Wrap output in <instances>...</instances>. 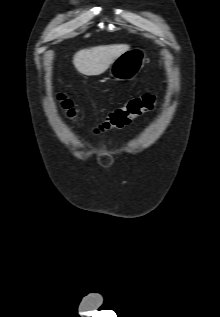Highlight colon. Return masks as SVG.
<instances>
[{"label":"colon","instance_id":"colon-1","mask_svg":"<svg viewBox=\"0 0 220 317\" xmlns=\"http://www.w3.org/2000/svg\"><path fill=\"white\" fill-rule=\"evenodd\" d=\"M56 102L60 110L71 121H77V112L73 102L62 94L56 96ZM157 104L155 94L146 93L128 100L121 106L110 111L105 119L99 123L96 133H104L111 130L121 129L129 125L138 116L151 111Z\"/></svg>","mask_w":220,"mask_h":317}]
</instances>
